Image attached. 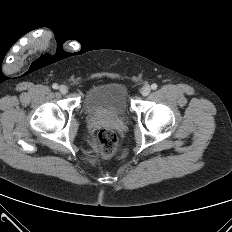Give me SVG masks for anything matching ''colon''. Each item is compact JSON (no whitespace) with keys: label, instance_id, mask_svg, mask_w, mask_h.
<instances>
[{"label":"colon","instance_id":"colon-1","mask_svg":"<svg viewBox=\"0 0 232 232\" xmlns=\"http://www.w3.org/2000/svg\"><path fill=\"white\" fill-rule=\"evenodd\" d=\"M97 141L103 157H111L115 154L118 147V138L112 129L101 128L97 134Z\"/></svg>","mask_w":232,"mask_h":232}]
</instances>
